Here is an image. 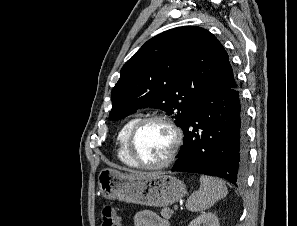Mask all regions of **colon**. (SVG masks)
<instances>
[{
  "mask_svg": "<svg viewBox=\"0 0 297 226\" xmlns=\"http://www.w3.org/2000/svg\"><path fill=\"white\" fill-rule=\"evenodd\" d=\"M101 226H121V221L115 210L110 205H106L100 214Z\"/></svg>",
  "mask_w": 297,
  "mask_h": 226,
  "instance_id": "colon-1",
  "label": "colon"
}]
</instances>
